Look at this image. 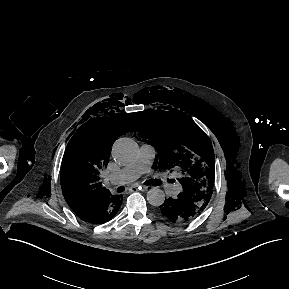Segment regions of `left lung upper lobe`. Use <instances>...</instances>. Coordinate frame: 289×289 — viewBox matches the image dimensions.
<instances>
[{
  "instance_id": "left-lung-upper-lobe-1",
  "label": "left lung upper lobe",
  "mask_w": 289,
  "mask_h": 289,
  "mask_svg": "<svg viewBox=\"0 0 289 289\" xmlns=\"http://www.w3.org/2000/svg\"><path fill=\"white\" fill-rule=\"evenodd\" d=\"M140 134L158 151L160 167L176 168L182 193L206 208L212 196L215 158L210 140L185 113L146 111L140 115Z\"/></svg>"
}]
</instances>
